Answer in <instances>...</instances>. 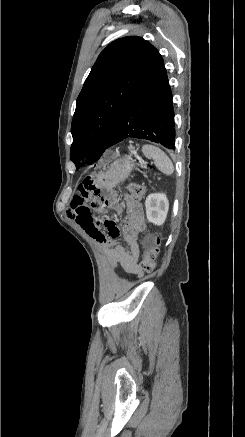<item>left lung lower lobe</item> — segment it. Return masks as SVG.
Segmentation results:
<instances>
[{
	"label": "left lung lower lobe",
	"instance_id": "0a47b994",
	"mask_svg": "<svg viewBox=\"0 0 245 437\" xmlns=\"http://www.w3.org/2000/svg\"><path fill=\"white\" fill-rule=\"evenodd\" d=\"M172 98L163 58L158 54L124 105L106 149L129 137L175 149Z\"/></svg>",
	"mask_w": 245,
	"mask_h": 437
}]
</instances>
